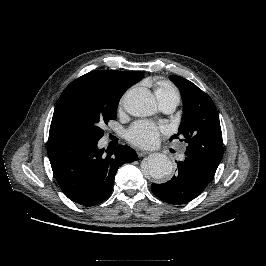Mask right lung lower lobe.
Segmentation results:
<instances>
[{
  "label": "right lung lower lobe",
  "instance_id": "1",
  "mask_svg": "<svg viewBox=\"0 0 266 266\" xmlns=\"http://www.w3.org/2000/svg\"><path fill=\"white\" fill-rule=\"evenodd\" d=\"M97 142L59 135L48 139L47 153L54 177L64 194L83 206L104 201L113 189L118 168L138 159L129 146L119 145L104 153Z\"/></svg>",
  "mask_w": 266,
  "mask_h": 266
}]
</instances>
